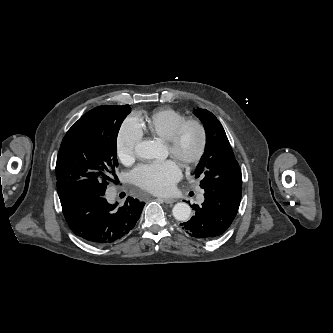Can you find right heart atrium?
I'll return each mask as SVG.
<instances>
[{"mask_svg":"<svg viewBox=\"0 0 333 333\" xmlns=\"http://www.w3.org/2000/svg\"><path fill=\"white\" fill-rule=\"evenodd\" d=\"M143 136V131L134 116H128L120 126L116 136L115 147L118 159L130 163L134 159L135 149Z\"/></svg>","mask_w":333,"mask_h":333,"instance_id":"d8ad5b80","label":"right heart atrium"}]
</instances>
